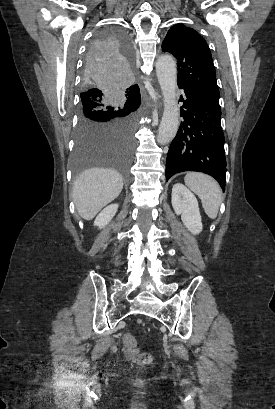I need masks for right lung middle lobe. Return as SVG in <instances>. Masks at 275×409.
Segmentation results:
<instances>
[{
  "label": "right lung middle lobe",
  "mask_w": 275,
  "mask_h": 409,
  "mask_svg": "<svg viewBox=\"0 0 275 409\" xmlns=\"http://www.w3.org/2000/svg\"><path fill=\"white\" fill-rule=\"evenodd\" d=\"M134 42L122 24H105L89 44L87 62L80 77L79 119L72 154L75 181L92 167L109 165L129 181L130 162L136 145V110L140 100L121 96L134 73ZM69 181L73 182L74 178Z\"/></svg>",
  "instance_id": "dd1d6c3e"
}]
</instances>
